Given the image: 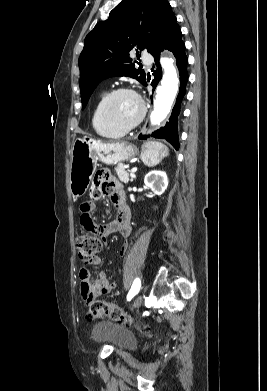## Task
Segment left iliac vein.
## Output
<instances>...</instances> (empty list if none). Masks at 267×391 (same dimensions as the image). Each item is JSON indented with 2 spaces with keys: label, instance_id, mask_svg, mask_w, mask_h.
Wrapping results in <instances>:
<instances>
[{
  "label": "left iliac vein",
  "instance_id": "1",
  "mask_svg": "<svg viewBox=\"0 0 267 391\" xmlns=\"http://www.w3.org/2000/svg\"><path fill=\"white\" fill-rule=\"evenodd\" d=\"M142 301H143V296L142 295H139L133 302V305H132V308L133 309H137L140 307V305L142 304Z\"/></svg>",
  "mask_w": 267,
  "mask_h": 391
}]
</instances>
